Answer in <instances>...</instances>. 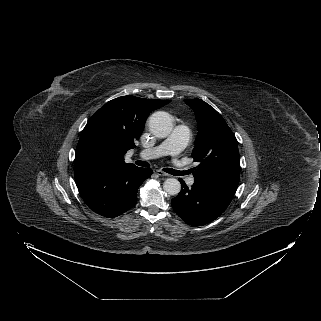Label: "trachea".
<instances>
[{
  "label": "trachea",
  "instance_id": "1",
  "mask_svg": "<svg viewBox=\"0 0 321 321\" xmlns=\"http://www.w3.org/2000/svg\"><path fill=\"white\" fill-rule=\"evenodd\" d=\"M136 165L138 166H141V167H150V164L146 161H136L135 162ZM163 171L171 174V175H174V176H181V175H185L186 172L185 171H177V170H174L172 168H164Z\"/></svg>",
  "mask_w": 321,
  "mask_h": 321
}]
</instances>
